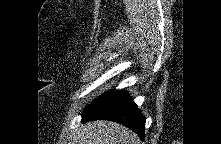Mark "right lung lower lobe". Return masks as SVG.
<instances>
[{
    "label": "right lung lower lobe",
    "mask_w": 221,
    "mask_h": 144,
    "mask_svg": "<svg viewBox=\"0 0 221 144\" xmlns=\"http://www.w3.org/2000/svg\"><path fill=\"white\" fill-rule=\"evenodd\" d=\"M106 119L132 129L144 139L145 117L125 91L111 90L82 114V120Z\"/></svg>",
    "instance_id": "1"
}]
</instances>
